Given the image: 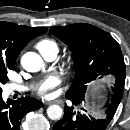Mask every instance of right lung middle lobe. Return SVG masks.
Returning a JSON list of instances; mask_svg holds the SVG:
<instances>
[{
	"label": "right lung middle lobe",
	"instance_id": "dd1d6c3e",
	"mask_svg": "<svg viewBox=\"0 0 130 130\" xmlns=\"http://www.w3.org/2000/svg\"><path fill=\"white\" fill-rule=\"evenodd\" d=\"M14 68L15 65H10L0 60V92L2 91L1 86L9 81L7 77L8 71L14 70Z\"/></svg>",
	"mask_w": 130,
	"mask_h": 130
}]
</instances>
